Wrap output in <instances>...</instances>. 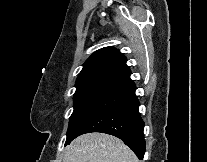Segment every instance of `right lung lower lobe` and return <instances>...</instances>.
Returning a JSON list of instances; mask_svg holds the SVG:
<instances>
[{
	"label": "right lung lower lobe",
	"mask_w": 207,
	"mask_h": 162,
	"mask_svg": "<svg viewBox=\"0 0 207 162\" xmlns=\"http://www.w3.org/2000/svg\"><path fill=\"white\" fill-rule=\"evenodd\" d=\"M135 90L131 79L117 87L90 112L66 144L81 134L102 132L120 138L140 160L143 159L144 122L139 113Z\"/></svg>",
	"instance_id": "1"
}]
</instances>
